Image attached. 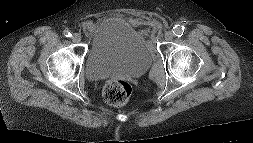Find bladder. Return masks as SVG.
<instances>
[{
  "instance_id": "bladder-1",
  "label": "bladder",
  "mask_w": 253,
  "mask_h": 143,
  "mask_svg": "<svg viewBox=\"0 0 253 143\" xmlns=\"http://www.w3.org/2000/svg\"><path fill=\"white\" fill-rule=\"evenodd\" d=\"M147 37L122 16L97 20L89 37L86 74L90 80L112 76L138 77L152 65Z\"/></svg>"
}]
</instances>
